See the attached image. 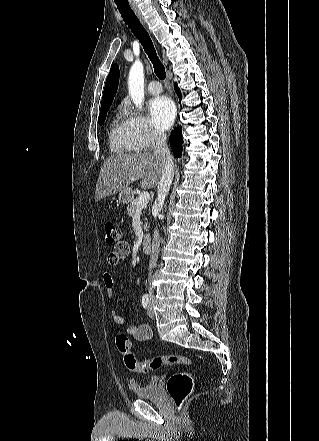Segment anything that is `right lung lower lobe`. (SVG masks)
Wrapping results in <instances>:
<instances>
[{
  "mask_svg": "<svg viewBox=\"0 0 319 441\" xmlns=\"http://www.w3.org/2000/svg\"><path fill=\"white\" fill-rule=\"evenodd\" d=\"M176 88V93L179 96V99L181 100V92L178 89L177 86H175ZM182 135H181V131L180 128H176L174 131H172L171 136H170V145L171 148L173 150V153L175 156L180 157L181 156V151H182Z\"/></svg>",
  "mask_w": 319,
  "mask_h": 441,
  "instance_id": "1",
  "label": "right lung lower lobe"
}]
</instances>
